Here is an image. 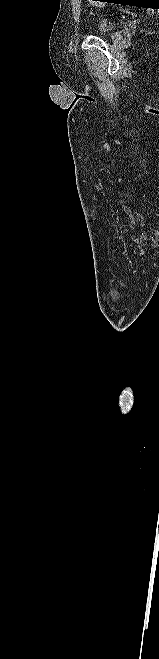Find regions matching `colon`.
<instances>
[{
  "instance_id": "5ec220e1",
  "label": "colon",
  "mask_w": 159,
  "mask_h": 659,
  "mask_svg": "<svg viewBox=\"0 0 159 659\" xmlns=\"http://www.w3.org/2000/svg\"><path fill=\"white\" fill-rule=\"evenodd\" d=\"M89 1H90V2H95V1H97V0H89Z\"/></svg>"
}]
</instances>
